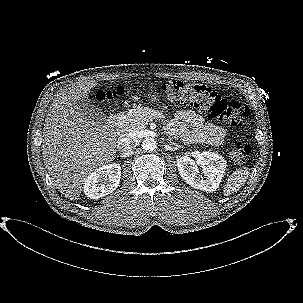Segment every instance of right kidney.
Wrapping results in <instances>:
<instances>
[{
  "instance_id": "1",
  "label": "right kidney",
  "mask_w": 303,
  "mask_h": 303,
  "mask_svg": "<svg viewBox=\"0 0 303 303\" xmlns=\"http://www.w3.org/2000/svg\"><path fill=\"white\" fill-rule=\"evenodd\" d=\"M121 166L104 165L90 173L84 183V193L91 199H99L112 193L120 183Z\"/></svg>"
}]
</instances>
